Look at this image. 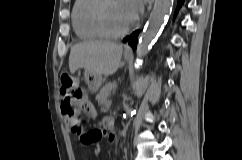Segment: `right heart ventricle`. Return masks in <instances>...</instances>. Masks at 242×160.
I'll return each instance as SVG.
<instances>
[{"mask_svg":"<svg viewBox=\"0 0 242 160\" xmlns=\"http://www.w3.org/2000/svg\"><path fill=\"white\" fill-rule=\"evenodd\" d=\"M97 0H75L71 19L75 34L81 40H96L102 36L92 21V11Z\"/></svg>","mask_w":242,"mask_h":160,"instance_id":"e07e8e85","label":"right heart ventricle"}]
</instances>
